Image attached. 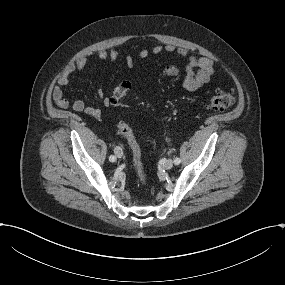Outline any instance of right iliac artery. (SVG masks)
<instances>
[{
    "instance_id": "obj_1",
    "label": "right iliac artery",
    "mask_w": 285,
    "mask_h": 285,
    "mask_svg": "<svg viewBox=\"0 0 285 285\" xmlns=\"http://www.w3.org/2000/svg\"><path fill=\"white\" fill-rule=\"evenodd\" d=\"M115 160H116V157H115V156H113V155H110V157H109V161H111V162H115Z\"/></svg>"
}]
</instances>
